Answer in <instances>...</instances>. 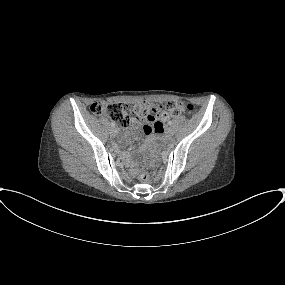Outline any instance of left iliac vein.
I'll return each mask as SVG.
<instances>
[{"label":"left iliac vein","instance_id":"left-iliac-vein-1","mask_svg":"<svg viewBox=\"0 0 285 285\" xmlns=\"http://www.w3.org/2000/svg\"><path fill=\"white\" fill-rule=\"evenodd\" d=\"M166 135L169 137V138H172L174 136V131L172 130V128H168L166 130Z\"/></svg>","mask_w":285,"mask_h":285}]
</instances>
